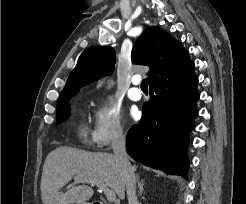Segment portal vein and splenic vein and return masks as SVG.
<instances>
[{"label": "portal vein and splenic vein", "instance_id": "portal-vein-and-splenic-vein-1", "mask_svg": "<svg viewBox=\"0 0 246 204\" xmlns=\"http://www.w3.org/2000/svg\"><path fill=\"white\" fill-rule=\"evenodd\" d=\"M81 182L83 183H90L92 185H96L101 191L104 192L106 198L108 201H115L116 200V194L112 189H109L104 182H102L99 179H89V178H83L81 179Z\"/></svg>", "mask_w": 246, "mask_h": 204}]
</instances>
